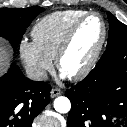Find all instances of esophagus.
<instances>
[{"instance_id": "obj_1", "label": "esophagus", "mask_w": 127, "mask_h": 127, "mask_svg": "<svg viewBox=\"0 0 127 127\" xmlns=\"http://www.w3.org/2000/svg\"><path fill=\"white\" fill-rule=\"evenodd\" d=\"M50 94H51V97L54 98L56 96L61 95L62 91L58 88H54V89L51 90Z\"/></svg>"}]
</instances>
